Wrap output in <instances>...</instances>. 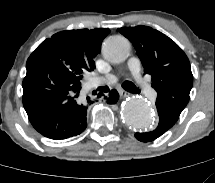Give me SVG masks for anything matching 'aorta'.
Masks as SVG:
<instances>
[{"instance_id": "1", "label": "aorta", "mask_w": 215, "mask_h": 183, "mask_svg": "<svg viewBox=\"0 0 215 183\" xmlns=\"http://www.w3.org/2000/svg\"><path fill=\"white\" fill-rule=\"evenodd\" d=\"M105 57L112 63H120L125 60L128 53L126 42L119 38H112L104 43ZM124 122L132 129L151 127L152 114L148 113L143 105L138 102H130L123 109Z\"/></svg>"}]
</instances>
